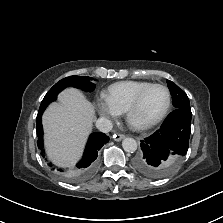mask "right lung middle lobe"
<instances>
[{
  "instance_id": "obj_1",
  "label": "right lung middle lobe",
  "mask_w": 223,
  "mask_h": 223,
  "mask_svg": "<svg viewBox=\"0 0 223 223\" xmlns=\"http://www.w3.org/2000/svg\"><path fill=\"white\" fill-rule=\"evenodd\" d=\"M93 78L85 76H69L57 82L45 95L42 103L51 102L57 98V95L66 87L72 86L84 91L91 92L95 89Z\"/></svg>"
}]
</instances>
